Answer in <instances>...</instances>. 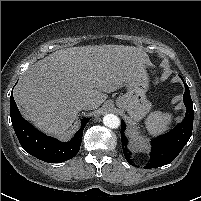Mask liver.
Segmentation results:
<instances>
[{"label": "liver", "mask_w": 201, "mask_h": 201, "mask_svg": "<svg viewBox=\"0 0 201 201\" xmlns=\"http://www.w3.org/2000/svg\"><path fill=\"white\" fill-rule=\"evenodd\" d=\"M151 65L147 53L133 46L61 49L27 69L15 99L22 114L38 129L60 136L76 119L80 102L90 101L92 109L98 108L107 93L121 88L128 76Z\"/></svg>", "instance_id": "obj_1"}]
</instances>
